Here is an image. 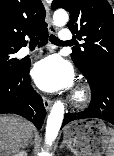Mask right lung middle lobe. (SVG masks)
Returning a JSON list of instances; mask_svg holds the SVG:
<instances>
[{"mask_svg":"<svg viewBox=\"0 0 114 156\" xmlns=\"http://www.w3.org/2000/svg\"><path fill=\"white\" fill-rule=\"evenodd\" d=\"M17 51L0 47V79L14 76L22 68V62L13 56Z\"/></svg>","mask_w":114,"mask_h":156,"instance_id":"obj_1","label":"right lung middle lobe"}]
</instances>
